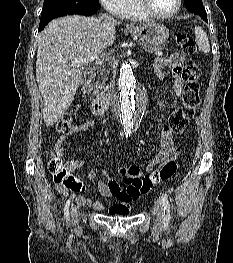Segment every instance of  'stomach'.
Instances as JSON below:
<instances>
[{
	"mask_svg": "<svg viewBox=\"0 0 233 263\" xmlns=\"http://www.w3.org/2000/svg\"><path fill=\"white\" fill-rule=\"evenodd\" d=\"M130 33L140 37L151 45H161L169 37V30L160 23H146L130 29Z\"/></svg>",
	"mask_w": 233,
	"mask_h": 263,
	"instance_id": "obj_1",
	"label": "stomach"
}]
</instances>
